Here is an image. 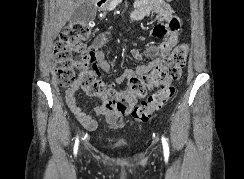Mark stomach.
I'll return each mask as SVG.
<instances>
[{
    "mask_svg": "<svg viewBox=\"0 0 244 179\" xmlns=\"http://www.w3.org/2000/svg\"><path fill=\"white\" fill-rule=\"evenodd\" d=\"M102 10H107V8H105V6H104V8H102Z\"/></svg>",
    "mask_w": 244,
    "mask_h": 179,
    "instance_id": "0dacf381",
    "label": "stomach"
}]
</instances>
